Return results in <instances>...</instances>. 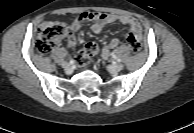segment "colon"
Returning a JSON list of instances; mask_svg holds the SVG:
<instances>
[{"label": "colon", "instance_id": "5ec220e1", "mask_svg": "<svg viewBox=\"0 0 194 133\" xmlns=\"http://www.w3.org/2000/svg\"><path fill=\"white\" fill-rule=\"evenodd\" d=\"M67 31V26L61 21H47L44 22L38 30L36 39V50L41 55L48 54L53 45L62 38ZM129 48L132 53L137 54L141 50V42L133 35L128 38ZM97 53V47L93 43H89L76 56V62L84 66L89 63L93 55Z\"/></svg>", "mask_w": 194, "mask_h": 133}]
</instances>
